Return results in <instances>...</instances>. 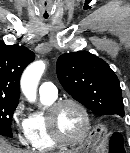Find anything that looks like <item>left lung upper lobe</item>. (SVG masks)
<instances>
[{
  "mask_svg": "<svg viewBox=\"0 0 130 153\" xmlns=\"http://www.w3.org/2000/svg\"><path fill=\"white\" fill-rule=\"evenodd\" d=\"M56 68L63 88L89 110L124 116L119 80L104 60L88 51L71 52L59 56Z\"/></svg>",
  "mask_w": 130,
  "mask_h": 153,
  "instance_id": "1",
  "label": "left lung upper lobe"
}]
</instances>
